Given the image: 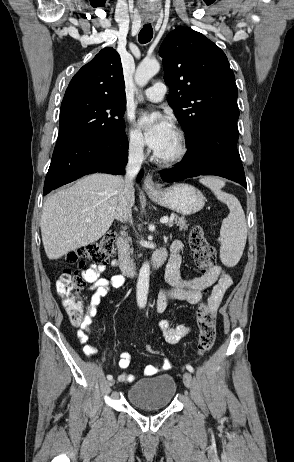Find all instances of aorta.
Masks as SVG:
<instances>
[{"instance_id": "1", "label": "aorta", "mask_w": 294, "mask_h": 462, "mask_svg": "<svg viewBox=\"0 0 294 462\" xmlns=\"http://www.w3.org/2000/svg\"><path fill=\"white\" fill-rule=\"evenodd\" d=\"M160 70V64L156 59L143 60L136 69L135 82L143 87L148 81L155 76ZM150 280V265L144 262L140 268L139 276L136 285V298L139 307H145L147 304V296Z\"/></svg>"}]
</instances>
